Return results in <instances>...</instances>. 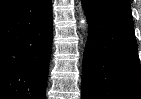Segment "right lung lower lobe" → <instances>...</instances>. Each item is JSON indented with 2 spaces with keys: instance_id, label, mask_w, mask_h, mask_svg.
Returning a JSON list of instances; mask_svg holds the SVG:
<instances>
[{
  "instance_id": "98d812e1",
  "label": "right lung lower lobe",
  "mask_w": 141,
  "mask_h": 99,
  "mask_svg": "<svg viewBox=\"0 0 141 99\" xmlns=\"http://www.w3.org/2000/svg\"><path fill=\"white\" fill-rule=\"evenodd\" d=\"M52 30L51 0L0 8V99H45Z\"/></svg>"
}]
</instances>
